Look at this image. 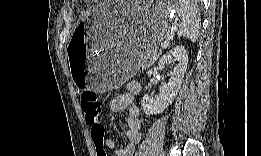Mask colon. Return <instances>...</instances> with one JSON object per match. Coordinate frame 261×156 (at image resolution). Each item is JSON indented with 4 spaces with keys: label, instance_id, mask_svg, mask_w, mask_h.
<instances>
[{
    "label": "colon",
    "instance_id": "obj_1",
    "mask_svg": "<svg viewBox=\"0 0 261 156\" xmlns=\"http://www.w3.org/2000/svg\"><path fill=\"white\" fill-rule=\"evenodd\" d=\"M81 107L86 123L92 126L91 136L97 153L104 155L103 141L105 130L104 127L99 124L102 114V105L98 96L93 92H84L81 95Z\"/></svg>",
    "mask_w": 261,
    "mask_h": 156
}]
</instances>
